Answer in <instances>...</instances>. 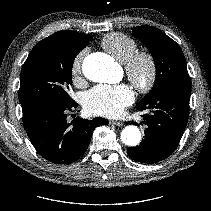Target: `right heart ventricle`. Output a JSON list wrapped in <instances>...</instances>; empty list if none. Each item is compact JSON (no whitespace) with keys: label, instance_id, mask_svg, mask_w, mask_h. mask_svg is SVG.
Returning <instances> with one entry per match:
<instances>
[{"label":"right heart ventricle","instance_id":"e07e8e85","mask_svg":"<svg viewBox=\"0 0 211 211\" xmlns=\"http://www.w3.org/2000/svg\"><path fill=\"white\" fill-rule=\"evenodd\" d=\"M101 46L121 63H126L138 51V43L130 36L114 32L104 36Z\"/></svg>","mask_w":211,"mask_h":211}]
</instances>
